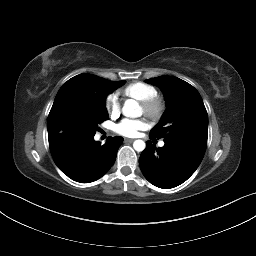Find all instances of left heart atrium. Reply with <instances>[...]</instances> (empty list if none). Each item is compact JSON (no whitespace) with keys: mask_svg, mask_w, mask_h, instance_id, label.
<instances>
[{"mask_svg":"<svg viewBox=\"0 0 256 256\" xmlns=\"http://www.w3.org/2000/svg\"><path fill=\"white\" fill-rule=\"evenodd\" d=\"M147 124L142 119H123L115 125V132L126 137H134L141 130H144Z\"/></svg>","mask_w":256,"mask_h":256,"instance_id":"obj_1","label":"left heart atrium"}]
</instances>
